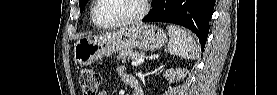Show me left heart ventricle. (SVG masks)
Masks as SVG:
<instances>
[{"label": "left heart ventricle", "mask_w": 277, "mask_h": 95, "mask_svg": "<svg viewBox=\"0 0 277 95\" xmlns=\"http://www.w3.org/2000/svg\"><path fill=\"white\" fill-rule=\"evenodd\" d=\"M140 10L139 0H101L96 17L102 22H110L134 17Z\"/></svg>", "instance_id": "left-heart-ventricle-1"}]
</instances>
